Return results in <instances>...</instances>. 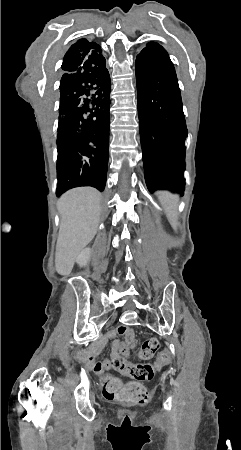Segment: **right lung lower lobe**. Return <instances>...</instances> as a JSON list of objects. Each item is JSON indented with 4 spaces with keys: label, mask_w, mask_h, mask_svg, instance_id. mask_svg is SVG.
Instances as JSON below:
<instances>
[{
    "label": "right lung lower lobe",
    "mask_w": 241,
    "mask_h": 450,
    "mask_svg": "<svg viewBox=\"0 0 241 450\" xmlns=\"http://www.w3.org/2000/svg\"><path fill=\"white\" fill-rule=\"evenodd\" d=\"M104 60L60 81L56 195L79 186L103 191L109 146L111 81Z\"/></svg>",
    "instance_id": "1"
}]
</instances>
